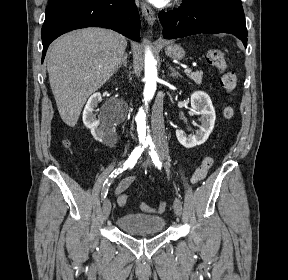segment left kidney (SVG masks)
I'll use <instances>...</instances> for the list:
<instances>
[{"label": "left kidney", "mask_w": 288, "mask_h": 280, "mask_svg": "<svg viewBox=\"0 0 288 280\" xmlns=\"http://www.w3.org/2000/svg\"><path fill=\"white\" fill-rule=\"evenodd\" d=\"M191 107L199 118V129L194 135L186 136L181 129L176 130V137L181 145L186 148H193L203 144L211 134L216 114L209 95L203 91H196L191 95Z\"/></svg>", "instance_id": "5707ae66"}]
</instances>
